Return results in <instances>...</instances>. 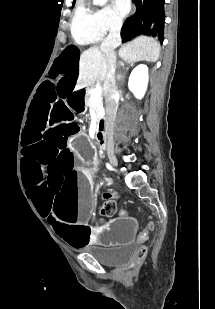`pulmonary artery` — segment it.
I'll return each mask as SVG.
<instances>
[{"instance_id": "1", "label": "pulmonary artery", "mask_w": 215, "mask_h": 309, "mask_svg": "<svg viewBox=\"0 0 215 309\" xmlns=\"http://www.w3.org/2000/svg\"><path fill=\"white\" fill-rule=\"evenodd\" d=\"M79 7L80 8H85L86 7V2L85 1H80L79 2ZM79 14H82V11H79Z\"/></svg>"}]
</instances>
